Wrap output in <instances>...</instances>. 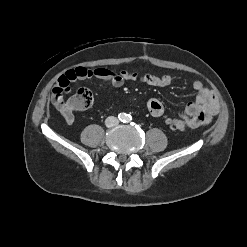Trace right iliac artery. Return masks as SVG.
Wrapping results in <instances>:
<instances>
[{
  "label": "right iliac artery",
  "mask_w": 247,
  "mask_h": 247,
  "mask_svg": "<svg viewBox=\"0 0 247 247\" xmlns=\"http://www.w3.org/2000/svg\"><path fill=\"white\" fill-rule=\"evenodd\" d=\"M126 117H127V115L124 114V113H120L118 115L119 120L122 121V122H125L126 121Z\"/></svg>",
  "instance_id": "right-iliac-artery-1"
}]
</instances>
